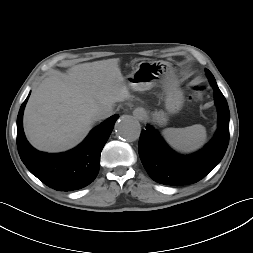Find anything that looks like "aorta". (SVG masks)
<instances>
[{"mask_svg": "<svg viewBox=\"0 0 253 253\" xmlns=\"http://www.w3.org/2000/svg\"><path fill=\"white\" fill-rule=\"evenodd\" d=\"M116 135L126 141H135L141 133L139 121L132 116H123L115 124Z\"/></svg>", "mask_w": 253, "mask_h": 253, "instance_id": "obj_1", "label": "aorta"}]
</instances>
